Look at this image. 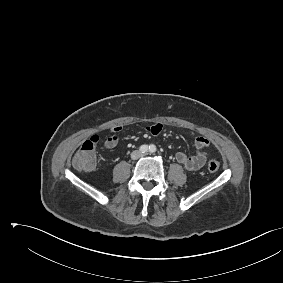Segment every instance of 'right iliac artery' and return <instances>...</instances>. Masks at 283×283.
I'll return each mask as SVG.
<instances>
[{"instance_id":"1","label":"right iliac artery","mask_w":283,"mask_h":283,"mask_svg":"<svg viewBox=\"0 0 283 283\" xmlns=\"http://www.w3.org/2000/svg\"><path fill=\"white\" fill-rule=\"evenodd\" d=\"M148 150H149L148 145H142V146L140 147V151H141L142 153H146Z\"/></svg>"}]
</instances>
